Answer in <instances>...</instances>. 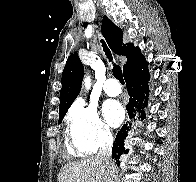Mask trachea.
<instances>
[{
  "instance_id": "3493384b",
  "label": "trachea",
  "mask_w": 196,
  "mask_h": 182,
  "mask_svg": "<svg viewBox=\"0 0 196 182\" xmlns=\"http://www.w3.org/2000/svg\"><path fill=\"white\" fill-rule=\"evenodd\" d=\"M101 42H102L103 50H104L107 58L109 59L110 62H113V58H112L110 50L108 49L105 42H103V40H101ZM112 71H113L114 77L116 79H118L121 84H124L123 74H122V70H121L120 66L113 63V70Z\"/></svg>"
}]
</instances>
